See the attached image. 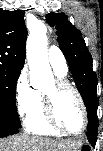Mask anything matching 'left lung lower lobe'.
<instances>
[{
  "instance_id": "1",
  "label": "left lung lower lobe",
  "mask_w": 103,
  "mask_h": 151,
  "mask_svg": "<svg viewBox=\"0 0 103 151\" xmlns=\"http://www.w3.org/2000/svg\"><path fill=\"white\" fill-rule=\"evenodd\" d=\"M97 107H98V98L96 99L95 103L92 105V108L87 110L88 112V140L90 144L94 147L96 144L97 139V132H98V118H97Z\"/></svg>"
}]
</instances>
